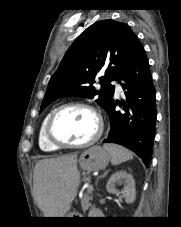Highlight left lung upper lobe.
Wrapping results in <instances>:
<instances>
[{"label":"left lung upper lobe","mask_w":181,"mask_h":227,"mask_svg":"<svg viewBox=\"0 0 181 227\" xmlns=\"http://www.w3.org/2000/svg\"><path fill=\"white\" fill-rule=\"evenodd\" d=\"M134 32L125 23L102 20L88 27L71 45L49 81L40 112L63 96L94 98L105 110L112 104L118 80L137 46ZM101 72V89L93 86Z\"/></svg>","instance_id":"obj_1"}]
</instances>
